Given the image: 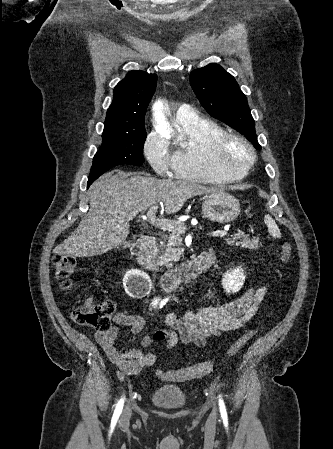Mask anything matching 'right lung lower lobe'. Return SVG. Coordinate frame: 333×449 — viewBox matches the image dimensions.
Here are the masks:
<instances>
[{"label":"right lung lower lobe","instance_id":"98d812e1","mask_svg":"<svg viewBox=\"0 0 333 449\" xmlns=\"http://www.w3.org/2000/svg\"><path fill=\"white\" fill-rule=\"evenodd\" d=\"M95 179L94 178H89V180H88V186L87 187H89L91 184H92V182L94 181Z\"/></svg>","mask_w":333,"mask_h":449}]
</instances>
